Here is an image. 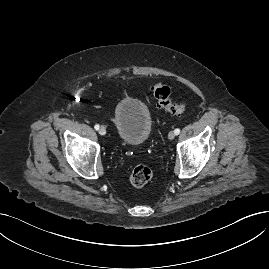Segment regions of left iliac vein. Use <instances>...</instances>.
I'll use <instances>...</instances> for the list:
<instances>
[{"mask_svg":"<svg viewBox=\"0 0 269 269\" xmlns=\"http://www.w3.org/2000/svg\"><path fill=\"white\" fill-rule=\"evenodd\" d=\"M175 132L174 131H170L169 132V134H168V138L170 139V140H173L174 138H175Z\"/></svg>","mask_w":269,"mask_h":269,"instance_id":"1","label":"left iliac vein"}]
</instances>
